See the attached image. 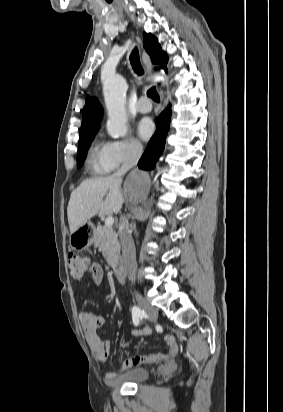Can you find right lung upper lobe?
<instances>
[{
	"label": "right lung upper lobe",
	"instance_id": "cb5924a9",
	"mask_svg": "<svg viewBox=\"0 0 283 412\" xmlns=\"http://www.w3.org/2000/svg\"><path fill=\"white\" fill-rule=\"evenodd\" d=\"M144 47L150 55L152 63H162V68L167 71L164 64L168 61V56L162 51L158 40L151 34L144 33ZM103 116V110L94 97L87 96L85 106L83 108L82 125L80 129V137L97 132L100 127V121Z\"/></svg>",
	"mask_w": 283,
	"mask_h": 412
}]
</instances>
